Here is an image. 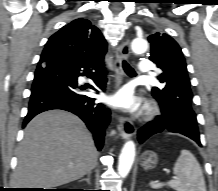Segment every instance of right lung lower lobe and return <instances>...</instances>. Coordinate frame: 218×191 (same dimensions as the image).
Returning <instances> with one entry per match:
<instances>
[{"instance_id":"1","label":"right lung lower lobe","mask_w":218,"mask_h":191,"mask_svg":"<svg viewBox=\"0 0 218 191\" xmlns=\"http://www.w3.org/2000/svg\"><path fill=\"white\" fill-rule=\"evenodd\" d=\"M103 60V57L79 59L56 51L43 52L35 72L23 127L41 112L66 110L86 123L93 133L98 150H101L110 111L105 105L97 103L95 98L80 93L83 89L77 88V78L89 76L104 91L107 78ZM90 88L97 91L93 86Z\"/></svg>"}]
</instances>
